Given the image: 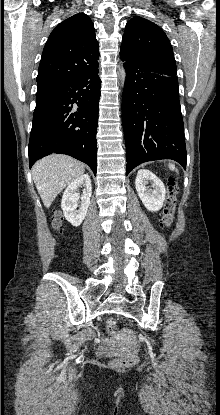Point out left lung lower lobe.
I'll use <instances>...</instances> for the list:
<instances>
[{"instance_id": "left-lung-lower-lobe-1", "label": "left lung lower lobe", "mask_w": 220, "mask_h": 415, "mask_svg": "<svg viewBox=\"0 0 220 415\" xmlns=\"http://www.w3.org/2000/svg\"><path fill=\"white\" fill-rule=\"evenodd\" d=\"M122 120L126 175L147 161L172 159L186 169L187 152L178 78L147 67L124 64Z\"/></svg>"}]
</instances>
